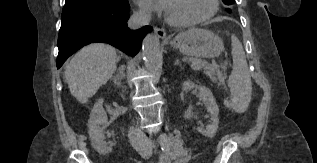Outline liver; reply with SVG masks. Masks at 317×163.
<instances>
[{"mask_svg": "<svg viewBox=\"0 0 317 163\" xmlns=\"http://www.w3.org/2000/svg\"><path fill=\"white\" fill-rule=\"evenodd\" d=\"M118 60L115 48L108 44L94 43L83 47L65 69L72 96L80 103H86L112 77Z\"/></svg>", "mask_w": 317, "mask_h": 163, "instance_id": "obj_1", "label": "liver"}]
</instances>
